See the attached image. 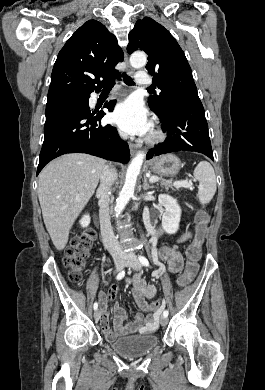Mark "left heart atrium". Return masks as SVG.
I'll list each match as a JSON object with an SVG mask.
<instances>
[{"mask_svg": "<svg viewBox=\"0 0 265 390\" xmlns=\"http://www.w3.org/2000/svg\"><path fill=\"white\" fill-rule=\"evenodd\" d=\"M112 119L126 134L145 135L151 129L147 111L142 103L134 98L119 103L112 114Z\"/></svg>", "mask_w": 265, "mask_h": 390, "instance_id": "obj_1", "label": "left heart atrium"}]
</instances>
